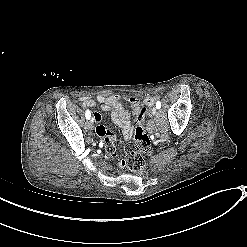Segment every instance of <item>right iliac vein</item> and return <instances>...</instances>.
Here are the masks:
<instances>
[{
    "label": "right iliac vein",
    "mask_w": 247,
    "mask_h": 247,
    "mask_svg": "<svg viewBox=\"0 0 247 247\" xmlns=\"http://www.w3.org/2000/svg\"><path fill=\"white\" fill-rule=\"evenodd\" d=\"M90 122L93 123V118H91Z\"/></svg>",
    "instance_id": "1"
}]
</instances>
